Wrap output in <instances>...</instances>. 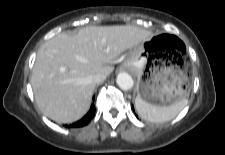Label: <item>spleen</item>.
Instances as JSON below:
<instances>
[{
	"instance_id": "obj_1",
	"label": "spleen",
	"mask_w": 225,
	"mask_h": 155,
	"mask_svg": "<svg viewBox=\"0 0 225 155\" xmlns=\"http://www.w3.org/2000/svg\"><path fill=\"white\" fill-rule=\"evenodd\" d=\"M187 103L188 100L184 98L169 106H156L145 102L138 96L135 99V107L138 114L143 119L154 123H163L172 120L185 108Z\"/></svg>"
}]
</instances>
